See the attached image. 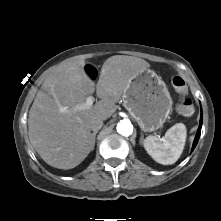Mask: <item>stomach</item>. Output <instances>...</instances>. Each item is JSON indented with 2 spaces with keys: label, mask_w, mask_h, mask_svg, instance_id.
<instances>
[{
  "label": "stomach",
  "mask_w": 221,
  "mask_h": 221,
  "mask_svg": "<svg viewBox=\"0 0 221 221\" xmlns=\"http://www.w3.org/2000/svg\"><path fill=\"white\" fill-rule=\"evenodd\" d=\"M123 105L145 132L158 130L172 110L165 82L153 70L139 72L122 95Z\"/></svg>",
  "instance_id": "0dacf381"
}]
</instances>
